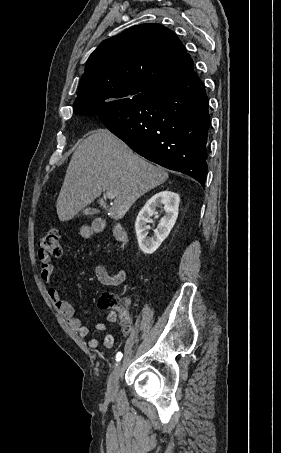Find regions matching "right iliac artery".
<instances>
[{
	"mask_svg": "<svg viewBox=\"0 0 281 453\" xmlns=\"http://www.w3.org/2000/svg\"><path fill=\"white\" fill-rule=\"evenodd\" d=\"M122 357H123V354L121 352H118L116 355V361L119 362Z\"/></svg>",
	"mask_w": 281,
	"mask_h": 453,
	"instance_id": "right-iliac-artery-1",
	"label": "right iliac artery"
}]
</instances>
